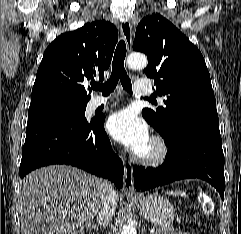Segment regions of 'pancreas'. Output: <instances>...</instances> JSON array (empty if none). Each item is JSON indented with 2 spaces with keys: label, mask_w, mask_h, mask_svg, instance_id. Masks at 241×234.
<instances>
[{
  "label": "pancreas",
  "mask_w": 241,
  "mask_h": 234,
  "mask_svg": "<svg viewBox=\"0 0 241 234\" xmlns=\"http://www.w3.org/2000/svg\"><path fill=\"white\" fill-rule=\"evenodd\" d=\"M155 234H182L181 232L175 231L172 228H163L155 232Z\"/></svg>",
  "instance_id": "1"
}]
</instances>
